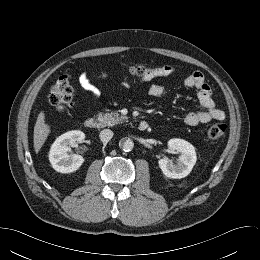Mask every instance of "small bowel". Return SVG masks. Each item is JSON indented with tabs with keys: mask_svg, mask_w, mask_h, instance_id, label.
I'll return each mask as SVG.
<instances>
[{
	"mask_svg": "<svg viewBox=\"0 0 260 260\" xmlns=\"http://www.w3.org/2000/svg\"><path fill=\"white\" fill-rule=\"evenodd\" d=\"M174 68L170 65H164L156 68L152 71L150 76L145 80H149L155 77H166L174 73ZM103 77L105 75H102ZM79 83L81 87L92 94L93 97L98 98L100 96L99 89L92 83L90 78L85 74H81L79 77ZM184 85L187 88H196L198 90V99L201 108L197 111L189 112L184 117V123L188 126H196L199 124L208 123L212 120H224L225 113L221 109L215 106V102L212 98V92L205 81L203 73L195 71L188 75L184 79ZM165 93V87L161 84H153L149 88V95L157 98Z\"/></svg>",
	"mask_w": 260,
	"mask_h": 260,
	"instance_id": "obj_1",
	"label": "small bowel"
}]
</instances>
